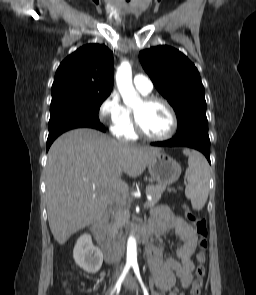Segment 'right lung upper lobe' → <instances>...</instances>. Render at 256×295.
<instances>
[{
    "instance_id": "cb5924a9",
    "label": "right lung upper lobe",
    "mask_w": 256,
    "mask_h": 295,
    "mask_svg": "<svg viewBox=\"0 0 256 295\" xmlns=\"http://www.w3.org/2000/svg\"><path fill=\"white\" fill-rule=\"evenodd\" d=\"M113 88V54L100 44H88L62 61L52 85V101L108 97Z\"/></svg>"
}]
</instances>
